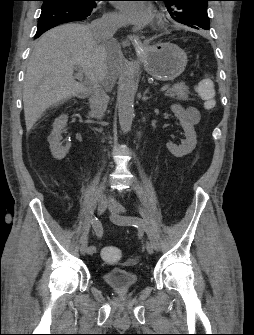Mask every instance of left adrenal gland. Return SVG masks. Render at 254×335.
Instances as JSON below:
<instances>
[{"label": "left adrenal gland", "instance_id": "a2214340", "mask_svg": "<svg viewBox=\"0 0 254 335\" xmlns=\"http://www.w3.org/2000/svg\"><path fill=\"white\" fill-rule=\"evenodd\" d=\"M149 89H146V91L143 93V101H147L149 98L146 96L148 93Z\"/></svg>", "mask_w": 254, "mask_h": 335}]
</instances>
